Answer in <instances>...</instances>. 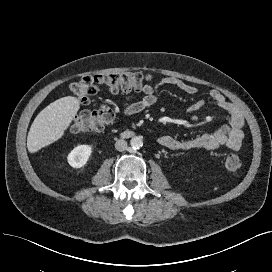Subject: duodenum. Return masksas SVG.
<instances>
[{
  "label": "duodenum",
  "instance_id": "410a0bca",
  "mask_svg": "<svg viewBox=\"0 0 272 272\" xmlns=\"http://www.w3.org/2000/svg\"><path fill=\"white\" fill-rule=\"evenodd\" d=\"M124 134L127 135V136H131V135H132V132H130V131H125Z\"/></svg>",
  "mask_w": 272,
  "mask_h": 272
}]
</instances>
